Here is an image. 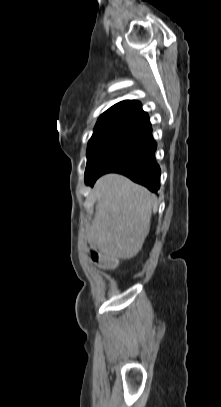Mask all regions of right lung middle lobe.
Listing matches in <instances>:
<instances>
[{
  "label": "right lung middle lobe",
  "mask_w": 221,
  "mask_h": 407,
  "mask_svg": "<svg viewBox=\"0 0 221 407\" xmlns=\"http://www.w3.org/2000/svg\"><path fill=\"white\" fill-rule=\"evenodd\" d=\"M138 129L137 127H115L94 132L87 147L85 181L95 175Z\"/></svg>",
  "instance_id": "right-lung-middle-lobe-1"
}]
</instances>
